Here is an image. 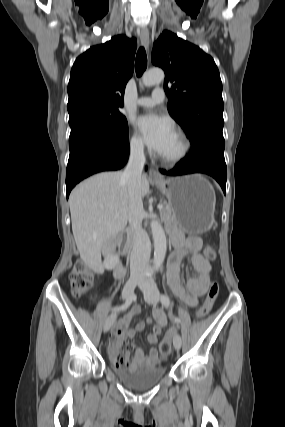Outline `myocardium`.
I'll return each instance as SVG.
<instances>
[{
    "instance_id": "obj_1",
    "label": "myocardium",
    "mask_w": 285,
    "mask_h": 427,
    "mask_svg": "<svg viewBox=\"0 0 285 427\" xmlns=\"http://www.w3.org/2000/svg\"><path fill=\"white\" fill-rule=\"evenodd\" d=\"M174 133L181 140L182 147L180 152L177 155L171 157L161 156L160 154L157 155L158 160L167 165H174L181 162L187 157L191 150V141L186 135V133L181 129H175Z\"/></svg>"
}]
</instances>
